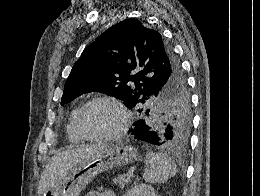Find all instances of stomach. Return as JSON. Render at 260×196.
<instances>
[{"instance_id": "stomach-1", "label": "stomach", "mask_w": 260, "mask_h": 196, "mask_svg": "<svg viewBox=\"0 0 260 196\" xmlns=\"http://www.w3.org/2000/svg\"><path fill=\"white\" fill-rule=\"evenodd\" d=\"M138 152L133 146H106L101 152H97L91 158H85L80 164L70 170L68 180H59V185L67 187H50V191L43 193L42 196H80L82 190L94 180L95 176L127 166L131 162L138 160Z\"/></svg>"}]
</instances>
